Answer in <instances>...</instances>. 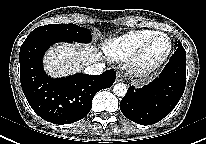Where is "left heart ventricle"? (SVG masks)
<instances>
[{
  "instance_id": "obj_1",
  "label": "left heart ventricle",
  "mask_w": 206,
  "mask_h": 144,
  "mask_svg": "<svg viewBox=\"0 0 206 144\" xmlns=\"http://www.w3.org/2000/svg\"><path fill=\"white\" fill-rule=\"evenodd\" d=\"M168 41L165 37L156 38L150 45L147 53L146 60L148 62H153L160 58L167 50Z\"/></svg>"
}]
</instances>
